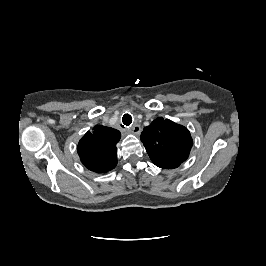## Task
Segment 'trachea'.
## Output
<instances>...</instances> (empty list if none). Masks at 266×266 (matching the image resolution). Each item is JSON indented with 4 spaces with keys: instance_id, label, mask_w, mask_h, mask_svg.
Here are the masks:
<instances>
[{
    "instance_id": "3493384b",
    "label": "trachea",
    "mask_w": 266,
    "mask_h": 266,
    "mask_svg": "<svg viewBox=\"0 0 266 266\" xmlns=\"http://www.w3.org/2000/svg\"><path fill=\"white\" fill-rule=\"evenodd\" d=\"M122 122L125 126H129L132 123V117L130 114L126 113L122 117Z\"/></svg>"
}]
</instances>
